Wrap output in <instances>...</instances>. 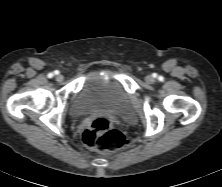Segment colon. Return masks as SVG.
Segmentation results:
<instances>
[{"label": "colon", "mask_w": 222, "mask_h": 187, "mask_svg": "<svg viewBox=\"0 0 222 187\" xmlns=\"http://www.w3.org/2000/svg\"><path fill=\"white\" fill-rule=\"evenodd\" d=\"M83 143L100 151L121 149L126 144V138L113 122L106 117L95 118L82 134Z\"/></svg>", "instance_id": "colon-1"}]
</instances>
